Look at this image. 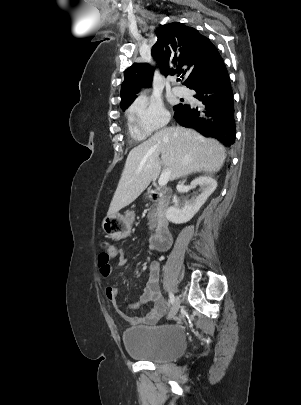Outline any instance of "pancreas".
Instances as JSON below:
<instances>
[{
    "mask_svg": "<svg viewBox=\"0 0 301 405\" xmlns=\"http://www.w3.org/2000/svg\"><path fill=\"white\" fill-rule=\"evenodd\" d=\"M158 211H159V208H158V205H156V204L153 205V206L150 208V212H149V214H148V219H149L148 226H149L150 229H153V227H154L155 224H156V219H157Z\"/></svg>",
    "mask_w": 301,
    "mask_h": 405,
    "instance_id": "pancreas-1",
    "label": "pancreas"
}]
</instances>
